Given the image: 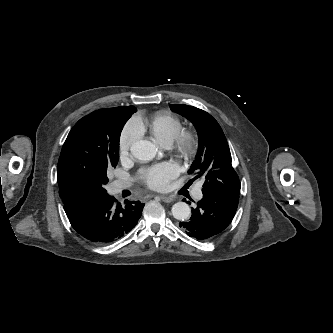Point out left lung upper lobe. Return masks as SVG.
Listing matches in <instances>:
<instances>
[{"mask_svg": "<svg viewBox=\"0 0 333 333\" xmlns=\"http://www.w3.org/2000/svg\"><path fill=\"white\" fill-rule=\"evenodd\" d=\"M170 108L191 121L198 132V154L188 173H195L196 178L204 180L202 190L217 195H239L240 181L218 122L209 113L193 106L172 104Z\"/></svg>", "mask_w": 333, "mask_h": 333, "instance_id": "1", "label": "left lung upper lobe"}]
</instances>
